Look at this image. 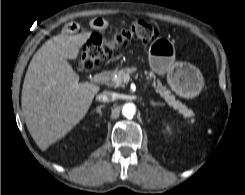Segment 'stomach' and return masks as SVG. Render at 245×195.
<instances>
[{
  "label": "stomach",
  "instance_id": "1",
  "mask_svg": "<svg viewBox=\"0 0 245 195\" xmlns=\"http://www.w3.org/2000/svg\"><path fill=\"white\" fill-rule=\"evenodd\" d=\"M149 65L158 74H167L171 89L181 97L194 98L203 88L198 68L175 61L174 45L167 39H157L149 47Z\"/></svg>",
  "mask_w": 245,
  "mask_h": 195
}]
</instances>
